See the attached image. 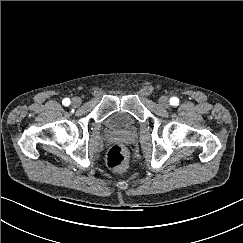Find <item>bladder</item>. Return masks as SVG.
<instances>
[{"mask_svg":"<svg viewBox=\"0 0 243 243\" xmlns=\"http://www.w3.org/2000/svg\"><path fill=\"white\" fill-rule=\"evenodd\" d=\"M132 119L122 113H115L107 119V126L113 131H126L131 128Z\"/></svg>","mask_w":243,"mask_h":243,"instance_id":"31cf9c89","label":"bladder"}]
</instances>
